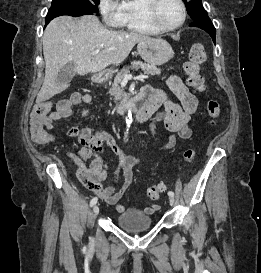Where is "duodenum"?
I'll list each match as a JSON object with an SVG mask.
<instances>
[{
    "label": "duodenum",
    "instance_id": "1",
    "mask_svg": "<svg viewBox=\"0 0 261 273\" xmlns=\"http://www.w3.org/2000/svg\"><path fill=\"white\" fill-rule=\"evenodd\" d=\"M107 80L106 73L97 74L93 82L95 84H101ZM155 111V104L152 101V97L147 95L143 90L133 100L129 102H123L117 105L116 112L118 114H126L132 112L135 115L137 122L143 123L149 119V117Z\"/></svg>",
    "mask_w": 261,
    "mask_h": 273
}]
</instances>
